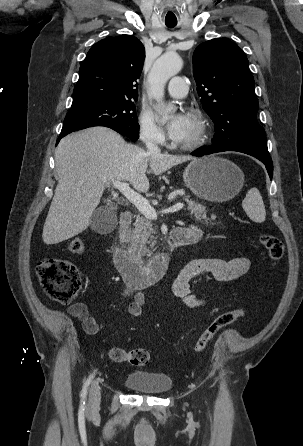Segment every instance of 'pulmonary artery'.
<instances>
[{
    "label": "pulmonary artery",
    "instance_id": "pulmonary-artery-1",
    "mask_svg": "<svg viewBox=\"0 0 303 446\" xmlns=\"http://www.w3.org/2000/svg\"><path fill=\"white\" fill-rule=\"evenodd\" d=\"M187 83L183 77H173L167 86V93L171 98L179 99L187 93Z\"/></svg>",
    "mask_w": 303,
    "mask_h": 446
}]
</instances>
